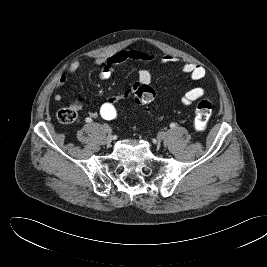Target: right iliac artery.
Returning a JSON list of instances; mask_svg holds the SVG:
<instances>
[{
	"label": "right iliac artery",
	"instance_id": "82829eb1",
	"mask_svg": "<svg viewBox=\"0 0 267 267\" xmlns=\"http://www.w3.org/2000/svg\"><path fill=\"white\" fill-rule=\"evenodd\" d=\"M86 121H87V122H90V121H91V118H89V117L86 118Z\"/></svg>",
	"mask_w": 267,
	"mask_h": 267
}]
</instances>
